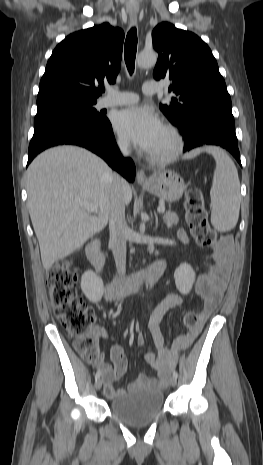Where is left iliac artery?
<instances>
[{"label":"left iliac artery","instance_id":"1","mask_svg":"<svg viewBox=\"0 0 263 465\" xmlns=\"http://www.w3.org/2000/svg\"><path fill=\"white\" fill-rule=\"evenodd\" d=\"M173 376L176 377V378H178V372H177V371H174V372H173Z\"/></svg>","mask_w":263,"mask_h":465}]
</instances>
